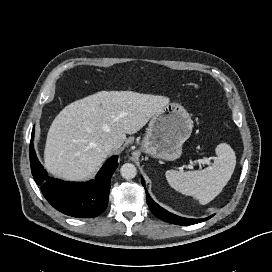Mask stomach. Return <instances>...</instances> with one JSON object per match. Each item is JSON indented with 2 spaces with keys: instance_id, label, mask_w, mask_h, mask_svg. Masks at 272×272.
Returning <instances> with one entry per match:
<instances>
[{
  "instance_id": "stomach-1",
  "label": "stomach",
  "mask_w": 272,
  "mask_h": 272,
  "mask_svg": "<svg viewBox=\"0 0 272 272\" xmlns=\"http://www.w3.org/2000/svg\"><path fill=\"white\" fill-rule=\"evenodd\" d=\"M193 121L179 103H169L151 118L142 141V149L153 158L173 161L182 154V145L190 137Z\"/></svg>"
}]
</instances>
